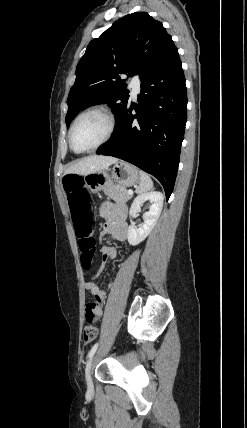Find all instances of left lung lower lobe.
<instances>
[{
  "mask_svg": "<svg viewBox=\"0 0 247 428\" xmlns=\"http://www.w3.org/2000/svg\"><path fill=\"white\" fill-rule=\"evenodd\" d=\"M140 79L138 104L129 101L113 139L96 153L120 158L155 176L168 200L187 121L185 77L178 49L161 57Z\"/></svg>",
  "mask_w": 247,
  "mask_h": 428,
  "instance_id": "obj_1",
  "label": "left lung lower lobe"
}]
</instances>
